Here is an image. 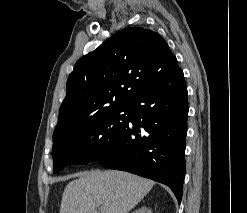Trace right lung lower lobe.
Returning a JSON list of instances; mask_svg holds the SVG:
<instances>
[{"label":"right lung lower lobe","instance_id":"right-lung-lower-lobe-1","mask_svg":"<svg viewBox=\"0 0 247 213\" xmlns=\"http://www.w3.org/2000/svg\"><path fill=\"white\" fill-rule=\"evenodd\" d=\"M130 118L110 150L97 159L103 166L166 184L179 204L185 176L188 100L178 67L129 102Z\"/></svg>","mask_w":247,"mask_h":213}]
</instances>
